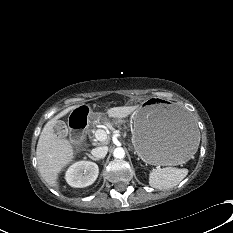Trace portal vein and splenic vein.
<instances>
[{
    "label": "portal vein and splenic vein",
    "instance_id": "portal-vein-and-splenic-vein-1",
    "mask_svg": "<svg viewBox=\"0 0 233 233\" xmlns=\"http://www.w3.org/2000/svg\"><path fill=\"white\" fill-rule=\"evenodd\" d=\"M95 138L100 142L105 141L107 139V133L102 129H98L95 131Z\"/></svg>",
    "mask_w": 233,
    "mask_h": 233
}]
</instances>
